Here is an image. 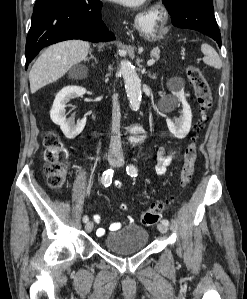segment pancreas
<instances>
[{"mask_svg":"<svg viewBox=\"0 0 247 299\" xmlns=\"http://www.w3.org/2000/svg\"><path fill=\"white\" fill-rule=\"evenodd\" d=\"M151 57H159V50H154L151 52Z\"/></svg>","mask_w":247,"mask_h":299,"instance_id":"obj_1","label":"pancreas"}]
</instances>
